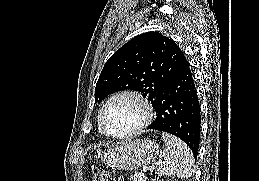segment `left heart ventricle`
<instances>
[{"label": "left heart ventricle", "mask_w": 259, "mask_h": 181, "mask_svg": "<svg viewBox=\"0 0 259 181\" xmlns=\"http://www.w3.org/2000/svg\"><path fill=\"white\" fill-rule=\"evenodd\" d=\"M142 119V109L132 98H120L107 108L105 125L113 134H123L134 129Z\"/></svg>", "instance_id": "obj_1"}]
</instances>
